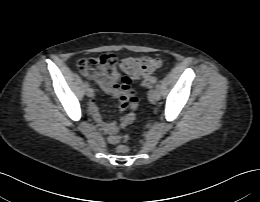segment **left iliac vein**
Returning <instances> with one entry per match:
<instances>
[{"label":"left iliac vein","instance_id":"obj_1","mask_svg":"<svg viewBox=\"0 0 260 202\" xmlns=\"http://www.w3.org/2000/svg\"><path fill=\"white\" fill-rule=\"evenodd\" d=\"M150 98L154 101H158L160 99V91L158 89H153L150 91Z\"/></svg>","mask_w":260,"mask_h":202}]
</instances>
